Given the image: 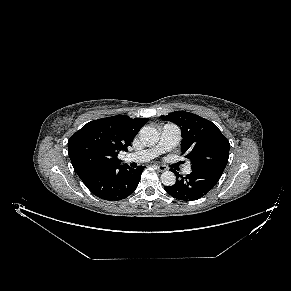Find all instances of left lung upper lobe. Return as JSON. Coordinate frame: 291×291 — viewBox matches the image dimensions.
I'll return each mask as SVG.
<instances>
[{
    "mask_svg": "<svg viewBox=\"0 0 291 291\" xmlns=\"http://www.w3.org/2000/svg\"><path fill=\"white\" fill-rule=\"evenodd\" d=\"M161 118L181 128L182 154L191 160L192 170L224 171L230 144L214 123L184 111H175Z\"/></svg>",
    "mask_w": 291,
    "mask_h": 291,
    "instance_id": "obj_1",
    "label": "left lung upper lobe"
}]
</instances>
